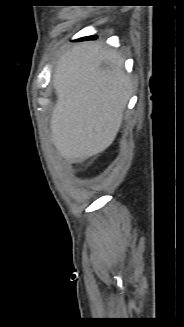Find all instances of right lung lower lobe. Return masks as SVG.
<instances>
[{"instance_id":"98d812e1","label":"right lung lower lobe","mask_w":184,"mask_h":327,"mask_svg":"<svg viewBox=\"0 0 184 327\" xmlns=\"http://www.w3.org/2000/svg\"><path fill=\"white\" fill-rule=\"evenodd\" d=\"M90 38L94 39V38H95V36H91ZM83 39H88V38H82V40H83Z\"/></svg>"}]
</instances>
